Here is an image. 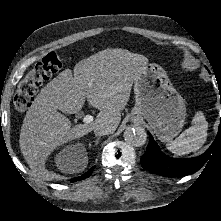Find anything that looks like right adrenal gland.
Listing matches in <instances>:
<instances>
[{"mask_svg": "<svg viewBox=\"0 0 221 221\" xmlns=\"http://www.w3.org/2000/svg\"><path fill=\"white\" fill-rule=\"evenodd\" d=\"M99 139H100V137H98V138L96 139V141H95V144H96V145L98 144ZM90 146H91V144H90Z\"/></svg>", "mask_w": 221, "mask_h": 221, "instance_id": "obj_1", "label": "right adrenal gland"}]
</instances>
